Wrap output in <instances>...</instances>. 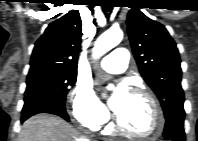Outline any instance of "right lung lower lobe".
Returning a JSON list of instances; mask_svg holds the SVG:
<instances>
[{"instance_id": "1", "label": "right lung lower lobe", "mask_w": 198, "mask_h": 141, "mask_svg": "<svg viewBox=\"0 0 198 141\" xmlns=\"http://www.w3.org/2000/svg\"><path fill=\"white\" fill-rule=\"evenodd\" d=\"M38 113H50L62 117L66 121H69V117L65 111V108L54 105L48 102H27L22 109L21 122H24L29 117Z\"/></svg>"}]
</instances>
